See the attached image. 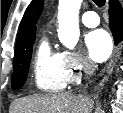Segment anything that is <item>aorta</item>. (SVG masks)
I'll list each match as a JSON object with an SVG mask.
<instances>
[{
  "instance_id": "aorta-1",
  "label": "aorta",
  "mask_w": 123,
  "mask_h": 113,
  "mask_svg": "<svg viewBox=\"0 0 123 113\" xmlns=\"http://www.w3.org/2000/svg\"><path fill=\"white\" fill-rule=\"evenodd\" d=\"M82 0H59L58 6V38L68 49L77 45L79 30V9Z\"/></svg>"
}]
</instances>
